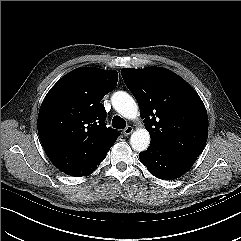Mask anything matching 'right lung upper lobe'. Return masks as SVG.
<instances>
[{"mask_svg": "<svg viewBox=\"0 0 241 241\" xmlns=\"http://www.w3.org/2000/svg\"><path fill=\"white\" fill-rule=\"evenodd\" d=\"M118 81L116 71L78 68L47 93L38 116V134L51 162L69 173L105 155L118 138L106 127L100 101Z\"/></svg>", "mask_w": 241, "mask_h": 241, "instance_id": "obj_1", "label": "right lung upper lobe"}]
</instances>
